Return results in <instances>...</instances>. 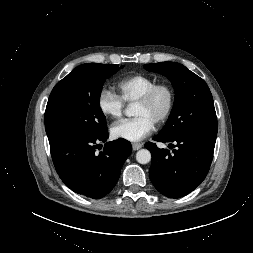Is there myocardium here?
Wrapping results in <instances>:
<instances>
[{"instance_id": "myocardium-1", "label": "myocardium", "mask_w": 253, "mask_h": 253, "mask_svg": "<svg viewBox=\"0 0 253 253\" xmlns=\"http://www.w3.org/2000/svg\"><path fill=\"white\" fill-rule=\"evenodd\" d=\"M166 90L168 93V105L164 111V113L156 120L155 124L157 126H161L165 124L169 118L171 117L176 103V92L174 87L168 82H158L149 88L137 101L136 104L147 105L149 104L158 91Z\"/></svg>"}]
</instances>
